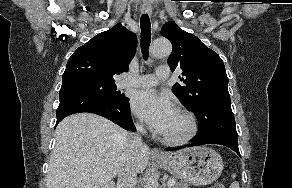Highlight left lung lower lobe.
Wrapping results in <instances>:
<instances>
[{"label":"left lung lower lobe","instance_id":"0a47b994","mask_svg":"<svg viewBox=\"0 0 292 188\" xmlns=\"http://www.w3.org/2000/svg\"><path fill=\"white\" fill-rule=\"evenodd\" d=\"M204 144H219L226 146L240 155L238 149V134L236 132L234 117L225 118L216 122L209 128L199 131L197 138L189 145L168 148L167 151L178 150L184 147L200 146Z\"/></svg>","mask_w":292,"mask_h":188}]
</instances>
